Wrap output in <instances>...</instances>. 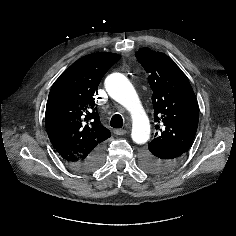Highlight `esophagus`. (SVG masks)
Here are the masks:
<instances>
[{
  "label": "esophagus",
  "mask_w": 236,
  "mask_h": 236,
  "mask_svg": "<svg viewBox=\"0 0 236 236\" xmlns=\"http://www.w3.org/2000/svg\"><path fill=\"white\" fill-rule=\"evenodd\" d=\"M126 133H127V130H125V129H116V130H114V134H116V135H124Z\"/></svg>",
  "instance_id": "esophagus-1"
}]
</instances>
